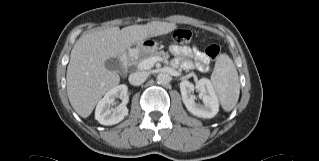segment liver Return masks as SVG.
I'll return each mask as SVG.
<instances>
[{
    "mask_svg": "<svg viewBox=\"0 0 319 161\" xmlns=\"http://www.w3.org/2000/svg\"><path fill=\"white\" fill-rule=\"evenodd\" d=\"M175 23L152 21L122 29L111 27L90 32L77 40L67 67V95L78 115L87 118L102 96L120 82L105 67L106 60L121 56L132 45L149 37L168 34Z\"/></svg>",
    "mask_w": 319,
    "mask_h": 161,
    "instance_id": "6515ba94",
    "label": "liver"
}]
</instances>
